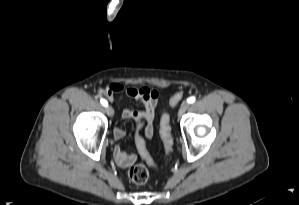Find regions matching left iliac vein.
<instances>
[{
    "mask_svg": "<svg viewBox=\"0 0 299 205\" xmlns=\"http://www.w3.org/2000/svg\"><path fill=\"white\" fill-rule=\"evenodd\" d=\"M189 107V103L187 101L182 102L179 112H178V116L181 117L185 111L188 109Z\"/></svg>",
    "mask_w": 299,
    "mask_h": 205,
    "instance_id": "1",
    "label": "left iliac vein"
}]
</instances>
